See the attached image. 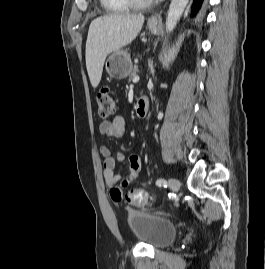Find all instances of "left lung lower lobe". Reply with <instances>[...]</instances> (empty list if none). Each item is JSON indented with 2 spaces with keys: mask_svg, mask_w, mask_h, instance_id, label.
<instances>
[{
  "mask_svg": "<svg viewBox=\"0 0 265 269\" xmlns=\"http://www.w3.org/2000/svg\"><path fill=\"white\" fill-rule=\"evenodd\" d=\"M202 2H203V0H194L193 8H192V12H193L194 14L199 10V8H200Z\"/></svg>",
  "mask_w": 265,
  "mask_h": 269,
  "instance_id": "1",
  "label": "left lung lower lobe"
}]
</instances>
